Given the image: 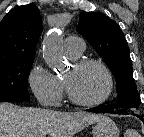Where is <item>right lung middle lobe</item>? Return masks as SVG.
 Here are the masks:
<instances>
[{
    "label": "right lung middle lobe",
    "instance_id": "right-lung-middle-lobe-1",
    "mask_svg": "<svg viewBox=\"0 0 144 137\" xmlns=\"http://www.w3.org/2000/svg\"><path fill=\"white\" fill-rule=\"evenodd\" d=\"M34 58L0 63V102L28 101L27 78Z\"/></svg>",
    "mask_w": 144,
    "mask_h": 137
}]
</instances>
